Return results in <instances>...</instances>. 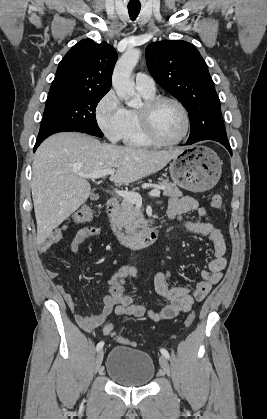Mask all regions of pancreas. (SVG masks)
<instances>
[{
	"label": "pancreas",
	"instance_id": "1",
	"mask_svg": "<svg viewBox=\"0 0 267 419\" xmlns=\"http://www.w3.org/2000/svg\"><path fill=\"white\" fill-rule=\"evenodd\" d=\"M158 184L164 187L163 194L168 197L178 198L182 196V192L178 187L168 179H159ZM112 223L119 229L125 228L128 235H132L136 228L143 222V215L135 204L128 200H123L121 205L113 212L111 216Z\"/></svg>",
	"mask_w": 267,
	"mask_h": 419
}]
</instances>
